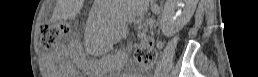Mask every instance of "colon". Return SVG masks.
Returning <instances> with one entry per match:
<instances>
[{
    "label": "colon",
    "instance_id": "colon-1",
    "mask_svg": "<svg viewBox=\"0 0 258 77\" xmlns=\"http://www.w3.org/2000/svg\"><path fill=\"white\" fill-rule=\"evenodd\" d=\"M43 39L50 44L56 42L65 32L64 25L45 24L41 29ZM157 52L152 39L143 41L135 50V59L144 69H151L156 61Z\"/></svg>",
    "mask_w": 258,
    "mask_h": 77
}]
</instances>
